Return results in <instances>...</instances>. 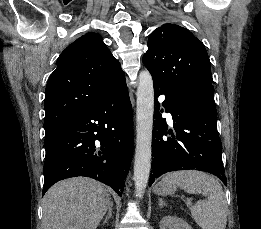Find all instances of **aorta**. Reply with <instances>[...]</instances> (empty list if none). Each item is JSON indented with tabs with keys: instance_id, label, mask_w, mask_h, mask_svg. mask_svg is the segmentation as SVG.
<instances>
[{
	"instance_id": "1",
	"label": "aorta",
	"mask_w": 261,
	"mask_h": 229,
	"mask_svg": "<svg viewBox=\"0 0 261 229\" xmlns=\"http://www.w3.org/2000/svg\"><path fill=\"white\" fill-rule=\"evenodd\" d=\"M138 80L137 135L133 179L136 197L143 199L151 169L154 86L149 70H141Z\"/></svg>"
}]
</instances>
